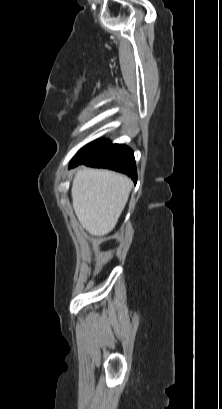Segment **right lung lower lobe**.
Returning a JSON list of instances; mask_svg holds the SVG:
<instances>
[{
  "label": "right lung lower lobe",
  "mask_w": 222,
  "mask_h": 409,
  "mask_svg": "<svg viewBox=\"0 0 222 409\" xmlns=\"http://www.w3.org/2000/svg\"><path fill=\"white\" fill-rule=\"evenodd\" d=\"M84 164L90 167L108 168L130 176L136 183L137 173L133 151L125 145L106 142L95 155L82 162L70 163V167Z\"/></svg>",
  "instance_id": "98d812e1"
}]
</instances>
